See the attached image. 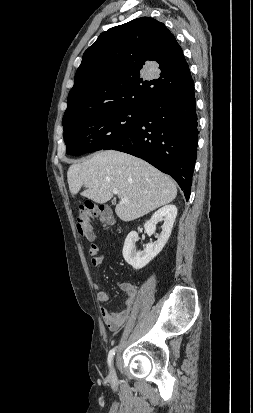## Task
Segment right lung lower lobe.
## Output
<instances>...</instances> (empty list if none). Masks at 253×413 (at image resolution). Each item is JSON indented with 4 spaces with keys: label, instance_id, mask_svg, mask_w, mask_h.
<instances>
[{
    "label": "right lung lower lobe",
    "instance_id": "1",
    "mask_svg": "<svg viewBox=\"0 0 253 413\" xmlns=\"http://www.w3.org/2000/svg\"><path fill=\"white\" fill-rule=\"evenodd\" d=\"M193 80L182 90L147 103L138 125L104 149L129 153L172 176L188 200L197 158L198 124Z\"/></svg>",
    "mask_w": 253,
    "mask_h": 413
}]
</instances>
